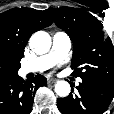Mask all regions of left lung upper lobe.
Segmentation results:
<instances>
[{
    "mask_svg": "<svg viewBox=\"0 0 114 114\" xmlns=\"http://www.w3.org/2000/svg\"><path fill=\"white\" fill-rule=\"evenodd\" d=\"M46 12L73 42L72 75L114 85V47L110 38L104 37L101 22L90 13L72 7Z\"/></svg>",
    "mask_w": 114,
    "mask_h": 114,
    "instance_id": "1",
    "label": "left lung upper lobe"
}]
</instances>
